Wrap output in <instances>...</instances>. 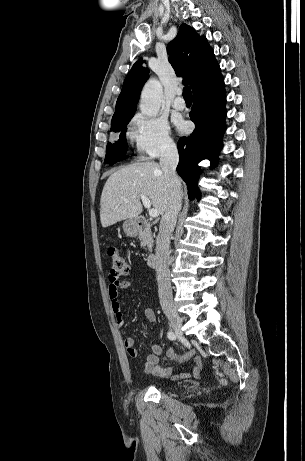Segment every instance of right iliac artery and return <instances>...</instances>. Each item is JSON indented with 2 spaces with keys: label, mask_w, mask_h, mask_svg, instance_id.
I'll use <instances>...</instances> for the list:
<instances>
[{
  "label": "right iliac artery",
  "mask_w": 305,
  "mask_h": 461,
  "mask_svg": "<svg viewBox=\"0 0 305 461\" xmlns=\"http://www.w3.org/2000/svg\"><path fill=\"white\" fill-rule=\"evenodd\" d=\"M167 337L170 339V340H176V334L172 331L168 332L167 333Z\"/></svg>",
  "instance_id": "right-iliac-artery-1"
}]
</instances>
